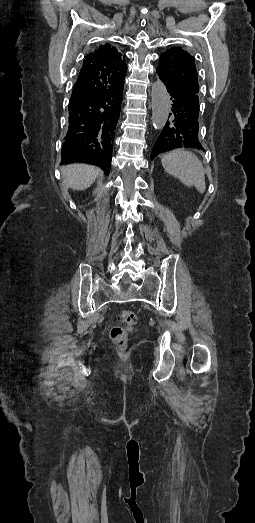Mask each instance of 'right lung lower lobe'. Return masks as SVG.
Here are the masks:
<instances>
[{"label":"right lung lower lobe","mask_w":255,"mask_h":523,"mask_svg":"<svg viewBox=\"0 0 255 523\" xmlns=\"http://www.w3.org/2000/svg\"><path fill=\"white\" fill-rule=\"evenodd\" d=\"M79 112L83 114V153L92 155L94 144L100 141V100L91 98L79 103Z\"/></svg>","instance_id":"right-lung-lower-lobe-1"}]
</instances>
